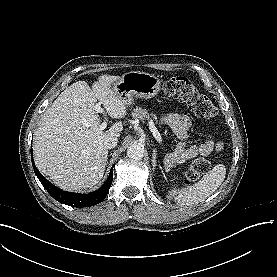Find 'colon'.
<instances>
[{"label": "colon", "mask_w": 277, "mask_h": 277, "mask_svg": "<svg viewBox=\"0 0 277 277\" xmlns=\"http://www.w3.org/2000/svg\"><path fill=\"white\" fill-rule=\"evenodd\" d=\"M164 94L168 98H178L185 101L194 113L203 119L216 116L217 108L213 102L202 94L192 82L184 76L169 78L164 83ZM210 170V163L204 159L193 161L186 175V182L193 183Z\"/></svg>", "instance_id": "obj_1"}]
</instances>
